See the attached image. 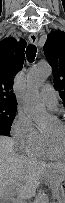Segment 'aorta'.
I'll list each match as a JSON object with an SVG mask.
<instances>
[{"instance_id": "762f6f07", "label": "aorta", "mask_w": 65, "mask_h": 203, "mask_svg": "<svg viewBox=\"0 0 65 203\" xmlns=\"http://www.w3.org/2000/svg\"><path fill=\"white\" fill-rule=\"evenodd\" d=\"M52 70L48 62L38 63L29 74V84L32 90L27 95L29 113L38 129L42 130L49 125L52 115L47 111L41 97L36 92L42 83L51 75ZM34 203H48V197L45 194L38 195Z\"/></svg>"}]
</instances>
